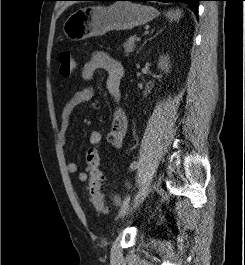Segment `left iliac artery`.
<instances>
[{"label": "left iliac artery", "instance_id": "left-iliac-artery-1", "mask_svg": "<svg viewBox=\"0 0 245 265\" xmlns=\"http://www.w3.org/2000/svg\"><path fill=\"white\" fill-rule=\"evenodd\" d=\"M138 166H139L138 162L134 161L130 164V170H135L136 168H138ZM129 200L130 199L128 197L124 200L120 211L121 214L125 213L126 210L128 209Z\"/></svg>", "mask_w": 245, "mask_h": 265}]
</instances>
